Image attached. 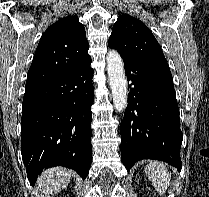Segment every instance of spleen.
<instances>
[{
	"label": "spleen",
	"mask_w": 209,
	"mask_h": 197,
	"mask_svg": "<svg viewBox=\"0 0 209 197\" xmlns=\"http://www.w3.org/2000/svg\"><path fill=\"white\" fill-rule=\"evenodd\" d=\"M145 173L155 190L161 195L165 194L171 179V174H169L166 165L160 162H151L146 166Z\"/></svg>",
	"instance_id": "spleen-1"
}]
</instances>
